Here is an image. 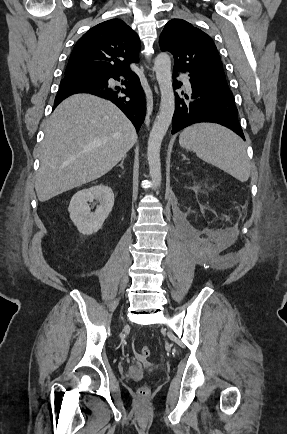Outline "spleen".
Instances as JSON below:
<instances>
[{"label": "spleen", "mask_w": 287, "mask_h": 434, "mask_svg": "<svg viewBox=\"0 0 287 434\" xmlns=\"http://www.w3.org/2000/svg\"><path fill=\"white\" fill-rule=\"evenodd\" d=\"M179 143L241 182L250 177L251 165L244 141L224 126L214 123L192 125L182 131Z\"/></svg>", "instance_id": "3e777b00"}]
</instances>
